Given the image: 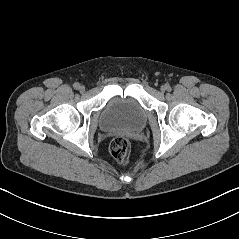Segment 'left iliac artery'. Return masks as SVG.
Wrapping results in <instances>:
<instances>
[{"mask_svg": "<svg viewBox=\"0 0 239 239\" xmlns=\"http://www.w3.org/2000/svg\"><path fill=\"white\" fill-rule=\"evenodd\" d=\"M166 90H167V91H171V87H170L169 84H166Z\"/></svg>", "mask_w": 239, "mask_h": 239, "instance_id": "44dca946", "label": "left iliac artery"}]
</instances>
